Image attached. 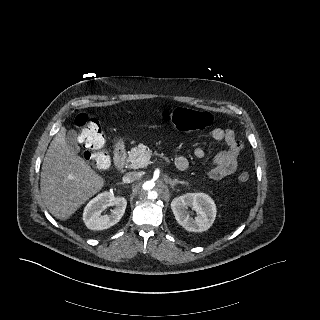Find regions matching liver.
Wrapping results in <instances>:
<instances>
[{
  "label": "liver",
  "mask_w": 320,
  "mask_h": 320,
  "mask_svg": "<svg viewBox=\"0 0 320 320\" xmlns=\"http://www.w3.org/2000/svg\"><path fill=\"white\" fill-rule=\"evenodd\" d=\"M62 127L51 141L41 171L44 204L57 219L67 220L104 186V179L74 152Z\"/></svg>",
  "instance_id": "obj_1"
}]
</instances>
